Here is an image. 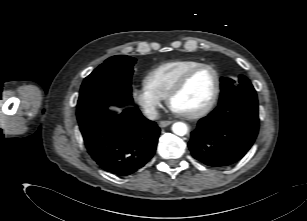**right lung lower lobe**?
I'll list each match as a JSON object with an SVG mask.
<instances>
[{"instance_id":"right-lung-lower-lobe-1","label":"right lung lower lobe","mask_w":307,"mask_h":221,"mask_svg":"<svg viewBox=\"0 0 307 221\" xmlns=\"http://www.w3.org/2000/svg\"><path fill=\"white\" fill-rule=\"evenodd\" d=\"M125 101L110 105L126 106ZM100 107L79 121L88 153L105 171L118 176L146 165L156 150L160 128L127 106L121 114Z\"/></svg>"}]
</instances>
